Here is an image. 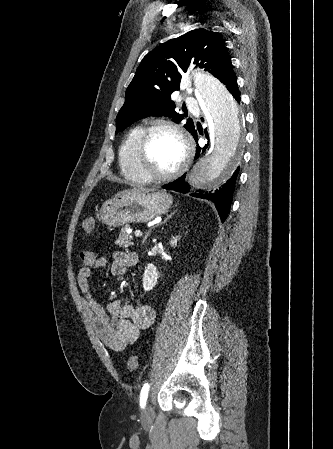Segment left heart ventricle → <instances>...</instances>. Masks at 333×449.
Here are the masks:
<instances>
[{"mask_svg": "<svg viewBox=\"0 0 333 449\" xmlns=\"http://www.w3.org/2000/svg\"><path fill=\"white\" fill-rule=\"evenodd\" d=\"M184 149L179 138L168 131L152 134L145 158V166L156 174H165L176 169L182 162Z\"/></svg>", "mask_w": 333, "mask_h": 449, "instance_id": "left-heart-ventricle-1", "label": "left heart ventricle"}]
</instances>
